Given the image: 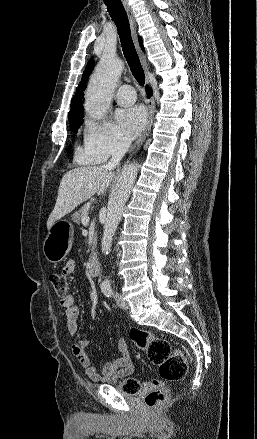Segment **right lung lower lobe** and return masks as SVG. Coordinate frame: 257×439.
I'll use <instances>...</instances> for the list:
<instances>
[{
	"label": "right lung lower lobe",
	"instance_id": "obj_1",
	"mask_svg": "<svg viewBox=\"0 0 257 439\" xmlns=\"http://www.w3.org/2000/svg\"><path fill=\"white\" fill-rule=\"evenodd\" d=\"M146 92H147V95H148V98H149L152 95V90L150 89L149 86H146Z\"/></svg>",
	"mask_w": 257,
	"mask_h": 439
}]
</instances>
